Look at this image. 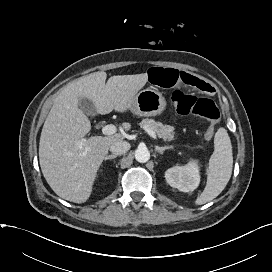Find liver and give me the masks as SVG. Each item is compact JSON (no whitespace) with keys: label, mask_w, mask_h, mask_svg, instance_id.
<instances>
[{"label":"liver","mask_w":272,"mask_h":272,"mask_svg":"<svg viewBox=\"0 0 272 272\" xmlns=\"http://www.w3.org/2000/svg\"><path fill=\"white\" fill-rule=\"evenodd\" d=\"M106 78V72H95L66 86L55 98L43 125L39 143L41 171L52 190L67 201L84 203L89 199L111 144L124 138L116 133L85 139L91 123L80 109L79 99L90 100L101 115L113 110L126 112L147 83L148 74L112 76L105 84ZM123 128L129 130L130 124L123 123Z\"/></svg>","instance_id":"1"}]
</instances>
